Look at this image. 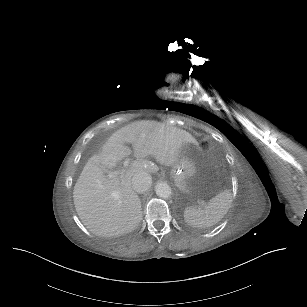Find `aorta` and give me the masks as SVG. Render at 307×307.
Here are the masks:
<instances>
[{
    "label": "aorta",
    "instance_id": "obj_1",
    "mask_svg": "<svg viewBox=\"0 0 307 307\" xmlns=\"http://www.w3.org/2000/svg\"><path fill=\"white\" fill-rule=\"evenodd\" d=\"M155 192H156L157 196L164 198V199H167V198L170 197V195L172 193V189H171V187L168 183L158 182L155 185Z\"/></svg>",
    "mask_w": 307,
    "mask_h": 307
}]
</instances>
